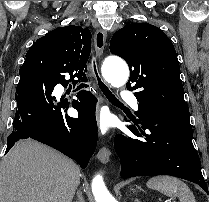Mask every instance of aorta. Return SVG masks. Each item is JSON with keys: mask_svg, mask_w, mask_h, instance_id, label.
Masks as SVG:
<instances>
[{"mask_svg": "<svg viewBox=\"0 0 209 202\" xmlns=\"http://www.w3.org/2000/svg\"><path fill=\"white\" fill-rule=\"evenodd\" d=\"M102 73L114 87L123 86L129 77V69L126 63L112 57L106 59ZM91 187L96 202H117L105 186L102 175L97 174L93 178Z\"/></svg>", "mask_w": 209, "mask_h": 202, "instance_id": "obj_1", "label": "aorta"}]
</instances>
